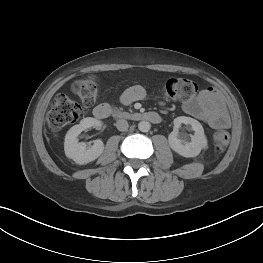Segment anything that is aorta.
Listing matches in <instances>:
<instances>
[{
  "mask_svg": "<svg viewBox=\"0 0 263 263\" xmlns=\"http://www.w3.org/2000/svg\"><path fill=\"white\" fill-rule=\"evenodd\" d=\"M151 128V124L148 121H141L138 124V129L141 132H148Z\"/></svg>",
  "mask_w": 263,
  "mask_h": 263,
  "instance_id": "1",
  "label": "aorta"
}]
</instances>
